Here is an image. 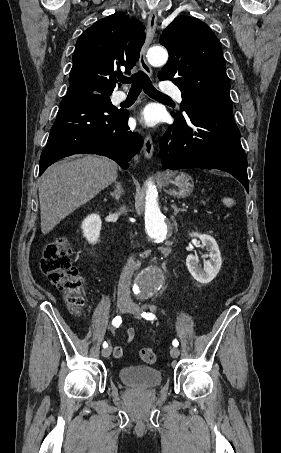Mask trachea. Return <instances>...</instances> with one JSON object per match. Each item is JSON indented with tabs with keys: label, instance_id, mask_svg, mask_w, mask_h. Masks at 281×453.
<instances>
[{
	"label": "trachea",
	"instance_id": "obj_1",
	"mask_svg": "<svg viewBox=\"0 0 281 453\" xmlns=\"http://www.w3.org/2000/svg\"><path fill=\"white\" fill-rule=\"evenodd\" d=\"M118 80L121 83H131V88L129 91L128 97L137 98L140 94L142 88L147 95L151 97H168L164 93L159 92L156 88L152 85L151 80L143 71H138L131 77H118Z\"/></svg>",
	"mask_w": 281,
	"mask_h": 453
}]
</instances>
